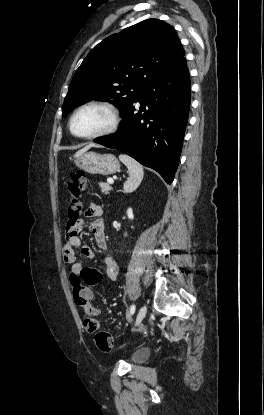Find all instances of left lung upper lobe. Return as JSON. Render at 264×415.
I'll list each match as a JSON object with an SVG mask.
<instances>
[{"label":"left lung upper lobe","instance_id":"5c2ea615","mask_svg":"<svg viewBox=\"0 0 264 415\" xmlns=\"http://www.w3.org/2000/svg\"><path fill=\"white\" fill-rule=\"evenodd\" d=\"M184 55L175 29L158 19L113 34L94 47L75 72L62 116L92 99L110 101L122 113L146 85Z\"/></svg>","mask_w":264,"mask_h":415}]
</instances>
